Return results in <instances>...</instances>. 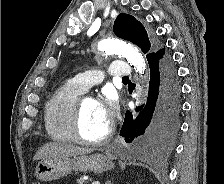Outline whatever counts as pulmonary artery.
Returning <instances> with one entry per match:
<instances>
[{"label": "pulmonary artery", "mask_w": 224, "mask_h": 184, "mask_svg": "<svg viewBox=\"0 0 224 184\" xmlns=\"http://www.w3.org/2000/svg\"><path fill=\"white\" fill-rule=\"evenodd\" d=\"M108 72L111 76L120 78L130 77L133 74L131 67L123 61L112 62ZM102 80L103 71L90 70L77 74L71 79V82L82 92H86L91 87L99 84Z\"/></svg>", "instance_id": "1"}]
</instances>
